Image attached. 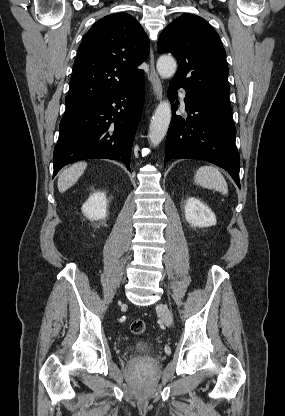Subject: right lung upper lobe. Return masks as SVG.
Returning <instances> with one entry per match:
<instances>
[{"label":"right lung upper lobe","instance_id":"obj_1","mask_svg":"<svg viewBox=\"0 0 285 416\" xmlns=\"http://www.w3.org/2000/svg\"><path fill=\"white\" fill-rule=\"evenodd\" d=\"M149 51V40L131 15L116 13L100 19L79 46L66 109L101 101L144 78L137 66Z\"/></svg>","mask_w":285,"mask_h":416}]
</instances>
